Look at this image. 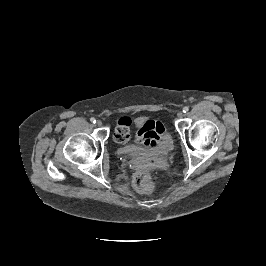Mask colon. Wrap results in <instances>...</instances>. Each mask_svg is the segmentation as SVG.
<instances>
[{
  "label": "colon",
  "mask_w": 266,
  "mask_h": 266,
  "mask_svg": "<svg viewBox=\"0 0 266 266\" xmlns=\"http://www.w3.org/2000/svg\"><path fill=\"white\" fill-rule=\"evenodd\" d=\"M133 185L137 191L143 193H151L154 190V184L148 170L137 172L133 179Z\"/></svg>",
  "instance_id": "obj_1"
}]
</instances>
